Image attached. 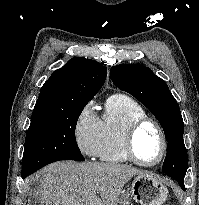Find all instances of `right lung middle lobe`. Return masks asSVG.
Returning a JSON list of instances; mask_svg holds the SVG:
<instances>
[{
  "label": "right lung middle lobe",
  "instance_id": "dd1d6c3e",
  "mask_svg": "<svg viewBox=\"0 0 199 205\" xmlns=\"http://www.w3.org/2000/svg\"><path fill=\"white\" fill-rule=\"evenodd\" d=\"M89 100L51 106L32 113L22 159L23 175L59 160L84 161L75 139L77 120Z\"/></svg>",
  "mask_w": 199,
  "mask_h": 205
}]
</instances>
